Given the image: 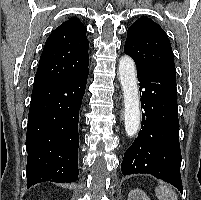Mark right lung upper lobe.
<instances>
[{
	"label": "right lung upper lobe",
	"mask_w": 201,
	"mask_h": 200,
	"mask_svg": "<svg viewBox=\"0 0 201 200\" xmlns=\"http://www.w3.org/2000/svg\"><path fill=\"white\" fill-rule=\"evenodd\" d=\"M87 29L78 18H70L48 37L40 57L33 89L70 79L89 64Z\"/></svg>",
	"instance_id": "obj_1"
}]
</instances>
